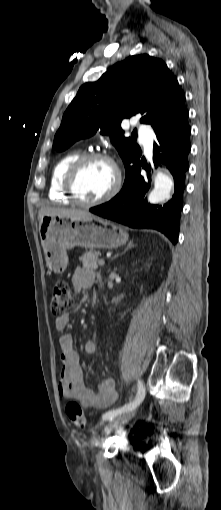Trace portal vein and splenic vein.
Wrapping results in <instances>:
<instances>
[{
	"mask_svg": "<svg viewBox=\"0 0 221 510\" xmlns=\"http://www.w3.org/2000/svg\"><path fill=\"white\" fill-rule=\"evenodd\" d=\"M98 263H99V265H104L105 261L103 259H99Z\"/></svg>",
	"mask_w": 221,
	"mask_h": 510,
	"instance_id": "portal-vein-and-splenic-vein-1",
	"label": "portal vein and splenic vein"
}]
</instances>
